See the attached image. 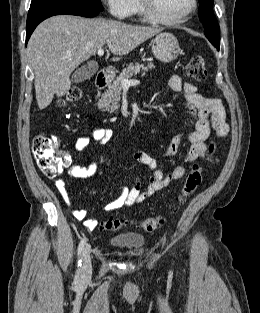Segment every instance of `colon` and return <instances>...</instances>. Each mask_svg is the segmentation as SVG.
<instances>
[{"instance_id":"colon-1","label":"colon","mask_w":260,"mask_h":313,"mask_svg":"<svg viewBox=\"0 0 260 313\" xmlns=\"http://www.w3.org/2000/svg\"><path fill=\"white\" fill-rule=\"evenodd\" d=\"M185 75L196 81H204L207 78V70L204 59L200 56L192 57L185 66ZM82 98V90L79 87H72L65 98L58 102L60 107L69 103H76ZM215 152V146L209 147V154L205 165L194 166L186 176L181 195L178 201H183L192 195L202 182L203 174L207 166L215 163L212 154ZM33 154L36 164L40 171L49 178L59 177L63 170L67 167L68 156L59 149L58 138L47 136L44 134L37 135L33 140ZM127 222L119 218H110L101 223L102 228L108 231H116L125 226ZM162 223L160 216L150 217L141 220L136 225L146 232H152Z\"/></svg>"}]
</instances>
